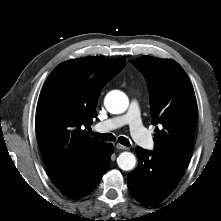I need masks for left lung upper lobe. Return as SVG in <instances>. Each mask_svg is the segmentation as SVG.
Wrapping results in <instances>:
<instances>
[{"label":"left lung upper lobe","instance_id":"5c2ea615","mask_svg":"<svg viewBox=\"0 0 221 221\" xmlns=\"http://www.w3.org/2000/svg\"><path fill=\"white\" fill-rule=\"evenodd\" d=\"M132 64L145 76L150 94L154 151L185 165L192 148L198 108L192 84L171 59L142 56Z\"/></svg>","mask_w":221,"mask_h":221}]
</instances>
